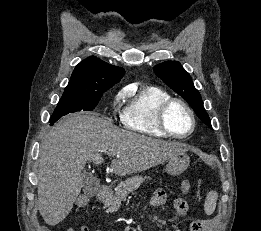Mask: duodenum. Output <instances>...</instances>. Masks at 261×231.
Instances as JSON below:
<instances>
[{
    "mask_svg": "<svg viewBox=\"0 0 261 231\" xmlns=\"http://www.w3.org/2000/svg\"><path fill=\"white\" fill-rule=\"evenodd\" d=\"M110 191H111L110 186H108V185H103V186L100 188L99 192H98L97 199H98L99 201H103V200L107 197V195L110 193Z\"/></svg>",
    "mask_w": 261,
    "mask_h": 231,
    "instance_id": "duodenum-1",
    "label": "duodenum"
}]
</instances>
